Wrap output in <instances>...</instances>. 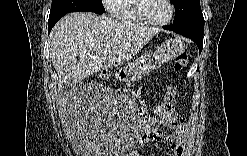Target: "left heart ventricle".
<instances>
[{
  "label": "left heart ventricle",
  "mask_w": 247,
  "mask_h": 156,
  "mask_svg": "<svg viewBox=\"0 0 247 156\" xmlns=\"http://www.w3.org/2000/svg\"><path fill=\"white\" fill-rule=\"evenodd\" d=\"M142 14L154 20H162L168 16L169 9L164 0H150L141 3Z\"/></svg>",
  "instance_id": "obj_1"
}]
</instances>
